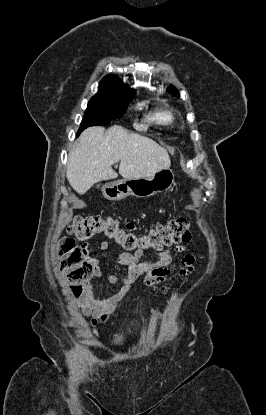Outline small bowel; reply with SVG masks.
Returning a JSON list of instances; mask_svg holds the SVG:
<instances>
[{
	"instance_id": "c3829d8e",
	"label": "small bowel",
	"mask_w": 266,
	"mask_h": 415,
	"mask_svg": "<svg viewBox=\"0 0 266 415\" xmlns=\"http://www.w3.org/2000/svg\"><path fill=\"white\" fill-rule=\"evenodd\" d=\"M129 229H133V224H128ZM100 249L104 252H112L108 242L102 241ZM187 250L186 245L176 246L173 249H159L154 261H141L143 250L138 249L134 254L118 253L114 254L111 260L113 263L127 267L125 274L121 276L105 275L99 269L101 260L98 257L91 258L94 274L110 283L121 284V290L110 298L97 301L93 297V283L87 281L82 285L81 291L75 294L76 304L85 317H89L93 325L106 321V319L119 308L131 291L132 284L142 279L150 287L162 290L166 289L165 284L172 280L173 271L168 268L172 261V252H183ZM195 265L194 256L188 254L181 260L178 269L179 277L183 278L190 274Z\"/></svg>"
}]
</instances>
